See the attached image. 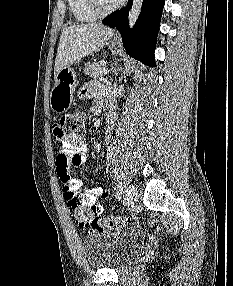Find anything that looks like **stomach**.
Instances as JSON below:
<instances>
[{"label":"stomach","mask_w":233,"mask_h":286,"mask_svg":"<svg viewBox=\"0 0 233 286\" xmlns=\"http://www.w3.org/2000/svg\"><path fill=\"white\" fill-rule=\"evenodd\" d=\"M110 49L115 54L118 42L112 41ZM77 85L76 72L71 65L64 67L55 75V84L50 93V107L55 113L61 114L69 109Z\"/></svg>","instance_id":"obj_1"}]
</instances>
